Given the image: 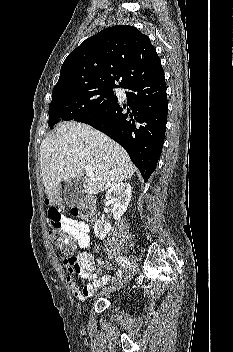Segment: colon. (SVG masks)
Returning a JSON list of instances; mask_svg holds the SVG:
<instances>
[{"label": "colon", "instance_id": "obj_1", "mask_svg": "<svg viewBox=\"0 0 233 352\" xmlns=\"http://www.w3.org/2000/svg\"><path fill=\"white\" fill-rule=\"evenodd\" d=\"M72 214L79 218L91 221L96 215L95 202L92 197H85L81 203L72 209ZM51 241L66 255L76 251V244L61 230L52 227L49 231Z\"/></svg>", "mask_w": 233, "mask_h": 352}]
</instances>
